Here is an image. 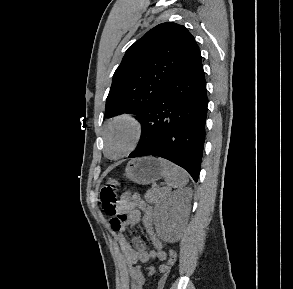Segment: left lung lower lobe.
<instances>
[{"mask_svg":"<svg viewBox=\"0 0 293 289\" xmlns=\"http://www.w3.org/2000/svg\"><path fill=\"white\" fill-rule=\"evenodd\" d=\"M208 98L201 55L139 119L142 135L129 158L153 155L184 168L197 182Z\"/></svg>","mask_w":293,"mask_h":289,"instance_id":"obj_1","label":"left lung lower lobe"}]
</instances>
